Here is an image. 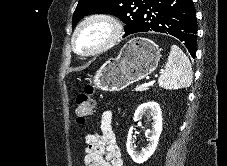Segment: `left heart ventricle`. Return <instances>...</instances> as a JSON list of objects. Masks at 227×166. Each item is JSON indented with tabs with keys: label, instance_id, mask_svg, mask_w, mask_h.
<instances>
[{
	"label": "left heart ventricle",
	"instance_id": "1",
	"mask_svg": "<svg viewBox=\"0 0 227 166\" xmlns=\"http://www.w3.org/2000/svg\"><path fill=\"white\" fill-rule=\"evenodd\" d=\"M110 28L101 22L91 23L86 26L77 37V45L83 51H89L102 42H104L110 35Z\"/></svg>",
	"mask_w": 227,
	"mask_h": 166
}]
</instances>
